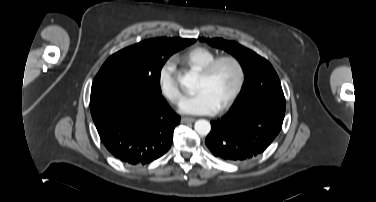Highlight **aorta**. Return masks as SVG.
I'll return each instance as SVG.
<instances>
[{
  "label": "aorta",
  "mask_w": 376,
  "mask_h": 202,
  "mask_svg": "<svg viewBox=\"0 0 376 202\" xmlns=\"http://www.w3.org/2000/svg\"><path fill=\"white\" fill-rule=\"evenodd\" d=\"M196 78L197 76L195 73L189 72L184 76H181L179 82L182 87L191 88L196 81ZM194 129L199 135L206 136L211 130V124L207 120L200 119L195 122Z\"/></svg>",
  "instance_id": "obj_1"
}]
</instances>
